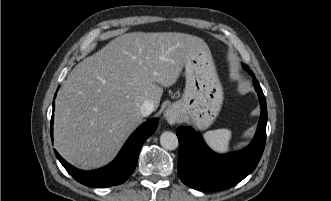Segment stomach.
Returning a JSON list of instances; mask_svg holds the SVG:
<instances>
[{"label": "stomach", "instance_id": "1", "mask_svg": "<svg viewBox=\"0 0 331 201\" xmlns=\"http://www.w3.org/2000/svg\"><path fill=\"white\" fill-rule=\"evenodd\" d=\"M186 86L173 109L198 130L210 127L221 110L223 90L208 47L197 49L185 63Z\"/></svg>", "mask_w": 331, "mask_h": 201}]
</instances>
